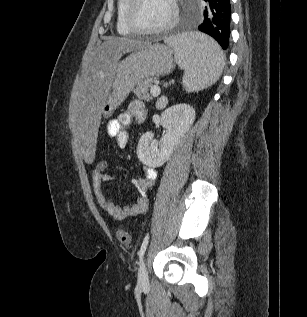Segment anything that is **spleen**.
Returning a JSON list of instances; mask_svg holds the SVG:
<instances>
[{
  "mask_svg": "<svg viewBox=\"0 0 307 317\" xmlns=\"http://www.w3.org/2000/svg\"><path fill=\"white\" fill-rule=\"evenodd\" d=\"M175 53L177 64L184 69L183 87L198 92L215 83L224 67V54L218 43L203 33H189L165 41Z\"/></svg>",
  "mask_w": 307,
  "mask_h": 317,
  "instance_id": "1",
  "label": "spleen"
}]
</instances>
